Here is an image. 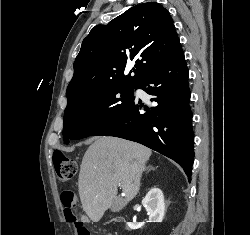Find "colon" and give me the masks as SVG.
<instances>
[{"mask_svg": "<svg viewBox=\"0 0 250 235\" xmlns=\"http://www.w3.org/2000/svg\"><path fill=\"white\" fill-rule=\"evenodd\" d=\"M53 165L55 168V174L60 182H67L75 178L78 171L77 163L71 158L67 157L63 153L53 154ZM61 202L65 208V216L70 221L77 225L79 235H90L88 226L83 222H78L75 206V195L71 191H65L61 194ZM112 223L122 222L121 218H115L111 220Z\"/></svg>", "mask_w": 250, "mask_h": 235, "instance_id": "1", "label": "colon"}]
</instances>
